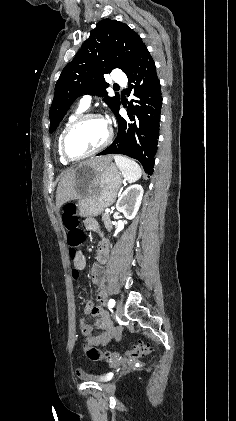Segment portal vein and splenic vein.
<instances>
[{"instance_id": "1", "label": "portal vein and splenic vein", "mask_w": 236, "mask_h": 421, "mask_svg": "<svg viewBox=\"0 0 236 421\" xmlns=\"http://www.w3.org/2000/svg\"><path fill=\"white\" fill-rule=\"evenodd\" d=\"M105 213H110V208H106Z\"/></svg>"}]
</instances>
